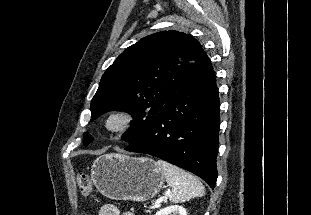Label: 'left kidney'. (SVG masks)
Returning a JSON list of instances; mask_svg holds the SVG:
<instances>
[{"mask_svg": "<svg viewBox=\"0 0 311 215\" xmlns=\"http://www.w3.org/2000/svg\"><path fill=\"white\" fill-rule=\"evenodd\" d=\"M155 215H187V212L183 206L172 205L159 210Z\"/></svg>", "mask_w": 311, "mask_h": 215, "instance_id": "left-kidney-1", "label": "left kidney"}]
</instances>
